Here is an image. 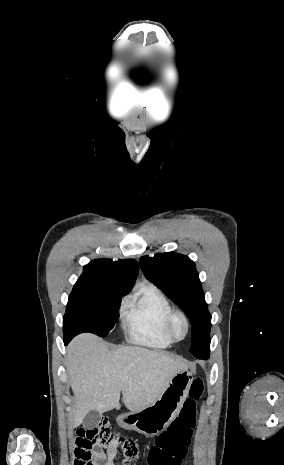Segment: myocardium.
Instances as JSON below:
<instances>
[{
  "instance_id": "obj_1",
  "label": "myocardium",
  "mask_w": 284,
  "mask_h": 465,
  "mask_svg": "<svg viewBox=\"0 0 284 465\" xmlns=\"http://www.w3.org/2000/svg\"><path fill=\"white\" fill-rule=\"evenodd\" d=\"M177 317H181L183 322H184V325H185V328H186V334L184 336V338L182 339H178L174 334H173V330H172V327H173V323L175 321V319ZM164 330H165V333L166 335L168 336V338L172 341V342H182L184 341L189 333H190V321H189V318L188 316L183 312V311H180V310H173L172 312H170L165 320V326H164Z\"/></svg>"
}]
</instances>
